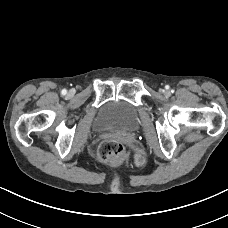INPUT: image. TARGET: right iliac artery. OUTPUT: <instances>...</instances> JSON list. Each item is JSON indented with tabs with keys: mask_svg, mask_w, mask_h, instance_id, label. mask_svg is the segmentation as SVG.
Masks as SVG:
<instances>
[{
	"mask_svg": "<svg viewBox=\"0 0 228 228\" xmlns=\"http://www.w3.org/2000/svg\"><path fill=\"white\" fill-rule=\"evenodd\" d=\"M67 93V90L66 89H63L62 91H61V94L62 95H65Z\"/></svg>",
	"mask_w": 228,
	"mask_h": 228,
	"instance_id": "1",
	"label": "right iliac artery"
}]
</instances>
